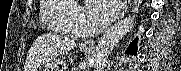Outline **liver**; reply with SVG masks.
I'll use <instances>...</instances> for the list:
<instances>
[{"instance_id": "1", "label": "liver", "mask_w": 181, "mask_h": 71, "mask_svg": "<svg viewBox=\"0 0 181 71\" xmlns=\"http://www.w3.org/2000/svg\"><path fill=\"white\" fill-rule=\"evenodd\" d=\"M75 40L68 37L48 34L40 37L30 50L25 64V71H36L44 60H52L75 47ZM36 52H38L37 55Z\"/></svg>"}]
</instances>
